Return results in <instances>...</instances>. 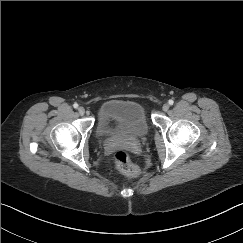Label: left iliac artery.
<instances>
[{
    "label": "left iliac artery",
    "instance_id": "44dca946",
    "mask_svg": "<svg viewBox=\"0 0 243 243\" xmlns=\"http://www.w3.org/2000/svg\"><path fill=\"white\" fill-rule=\"evenodd\" d=\"M168 103H169L170 105H173L174 101H173L172 99H170V100L168 101Z\"/></svg>",
    "mask_w": 243,
    "mask_h": 243
}]
</instances>
